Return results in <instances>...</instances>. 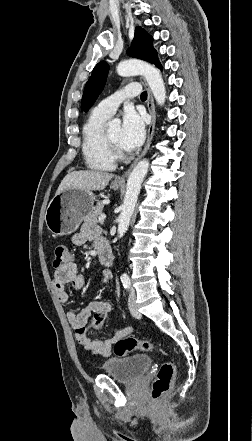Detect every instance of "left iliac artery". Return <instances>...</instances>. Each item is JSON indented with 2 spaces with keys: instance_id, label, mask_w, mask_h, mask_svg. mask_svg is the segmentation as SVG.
<instances>
[{
  "instance_id": "obj_1",
  "label": "left iliac artery",
  "mask_w": 252,
  "mask_h": 441,
  "mask_svg": "<svg viewBox=\"0 0 252 441\" xmlns=\"http://www.w3.org/2000/svg\"><path fill=\"white\" fill-rule=\"evenodd\" d=\"M121 281L123 283L124 288H129L130 287V279H129V276L127 274H122L121 275Z\"/></svg>"
}]
</instances>
